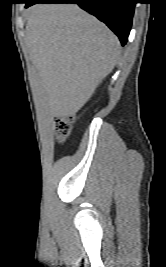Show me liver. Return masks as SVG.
Returning a JSON list of instances; mask_svg holds the SVG:
<instances>
[{"label":"liver","instance_id":"1","mask_svg":"<svg viewBox=\"0 0 166 267\" xmlns=\"http://www.w3.org/2000/svg\"><path fill=\"white\" fill-rule=\"evenodd\" d=\"M26 42L52 116L80 110L120 56L112 31L74 4L31 7Z\"/></svg>","mask_w":166,"mask_h":267}]
</instances>
